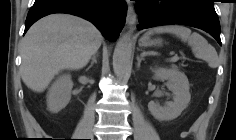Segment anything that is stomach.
<instances>
[{"label": "stomach", "instance_id": "0dacf381", "mask_svg": "<svg viewBox=\"0 0 236 140\" xmlns=\"http://www.w3.org/2000/svg\"><path fill=\"white\" fill-rule=\"evenodd\" d=\"M160 43H161V40L159 39H155V40H151L149 38L141 39V45L143 46H151V45H156Z\"/></svg>", "mask_w": 236, "mask_h": 140}]
</instances>
